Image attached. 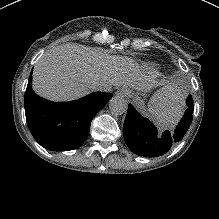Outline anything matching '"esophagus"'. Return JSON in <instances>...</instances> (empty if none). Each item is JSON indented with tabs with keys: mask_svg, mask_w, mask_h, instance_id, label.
Returning <instances> with one entry per match:
<instances>
[{
	"mask_svg": "<svg viewBox=\"0 0 219 219\" xmlns=\"http://www.w3.org/2000/svg\"><path fill=\"white\" fill-rule=\"evenodd\" d=\"M126 95H127V93H126V91L125 90H119V91H117L116 92V97L117 98H120V97H126Z\"/></svg>",
	"mask_w": 219,
	"mask_h": 219,
	"instance_id": "1",
	"label": "esophagus"
}]
</instances>
